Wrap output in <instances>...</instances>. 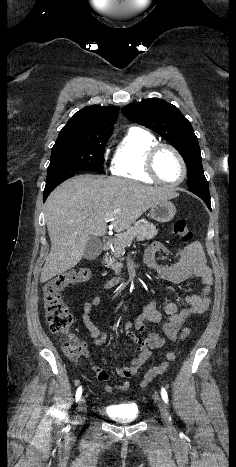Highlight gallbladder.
Returning <instances> with one entry per match:
<instances>
[{"instance_id": "gallbladder-1", "label": "gallbladder", "mask_w": 236, "mask_h": 467, "mask_svg": "<svg viewBox=\"0 0 236 467\" xmlns=\"http://www.w3.org/2000/svg\"><path fill=\"white\" fill-rule=\"evenodd\" d=\"M102 251V242L97 237H91L84 249V258L87 260L96 259Z\"/></svg>"}]
</instances>
